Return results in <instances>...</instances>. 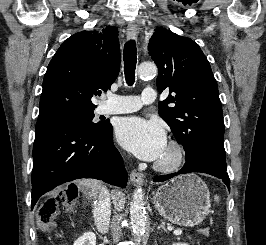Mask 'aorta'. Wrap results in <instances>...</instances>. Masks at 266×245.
Here are the masks:
<instances>
[{
    "label": "aorta",
    "instance_id": "obj_1",
    "mask_svg": "<svg viewBox=\"0 0 266 245\" xmlns=\"http://www.w3.org/2000/svg\"><path fill=\"white\" fill-rule=\"evenodd\" d=\"M157 72L155 64H140L138 74L140 76H154ZM144 191L141 187L135 189L130 205V219L132 225V233L137 243H141L143 235L146 231V209L144 207Z\"/></svg>",
    "mask_w": 266,
    "mask_h": 245
}]
</instances>
